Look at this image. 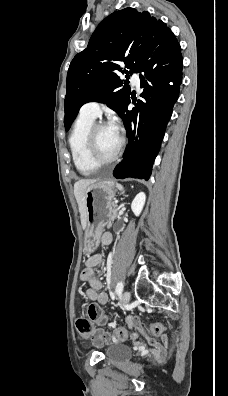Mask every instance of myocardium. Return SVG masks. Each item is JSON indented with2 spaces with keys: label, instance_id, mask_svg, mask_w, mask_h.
Instances as JSON below:
<instances>
[{
  "label": "myocardium",
  "instance_id": "myocardium-1",
  "mask_svg": "<svg viewBox=\"0 0 228 396\" xmlns=\"http://www.w3.org/2000/svg\"><path fill=\"white\" fill-rule=\"evenodd\" d=\"M110 125L105 121H98L93 123L91 128L89 129V132L87 134V139H86V154L89 159V161L96 167H101L105 165H109L114 163L122 154L125 140L124 137L119 135V146L114 153L112 157L109 159H101L98 157L97 152H96V134L98 130L104 126Z\"/></svg>",
  "mask_w": 228,
  "mask_h": 396
}]
</instances>
